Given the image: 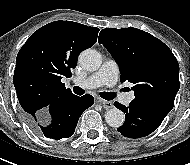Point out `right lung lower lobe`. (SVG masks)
I'll use <instances>...</instances> for the list:
<instances>
[{
	"label": "right lung lower lobe",
	"instance_id": "98d812e1",
	"mask_svg": "<svg viewBox=\"0 0 190 165\" xmlns=\"http://www.w3.org/2000/svg\"><path fill=\"white\" fill-rule=\"evenodd\" d=\"M94 103L92 95L61 96L36 115L24 114L29 127L40 136L60 140L74 134L81 114Z\"/></svg>",
	"mask_w": 190,
	"mask_h": 165
}]
</instances>
